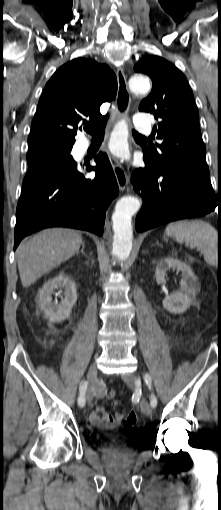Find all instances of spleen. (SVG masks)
I'll return each mask as SVG.
<instances>
[{
    "mask_svg": "<svg viewBox=\"0 0 221 510\" xmlns=\"http://www.w3.org/2000/svg\"><path fill=\"white\" fill-rule=\"evenodd\" d=\"M165 233L183 240L191 248H197L207 263H216L217 232L209 223L202 220L176 221L167 225Z\"/></svg>",
    "mask_w": 221,
    "mask_h": 510,
    "instance_id": "obj_1",
    "label": "spleen"
}]
</instances>
